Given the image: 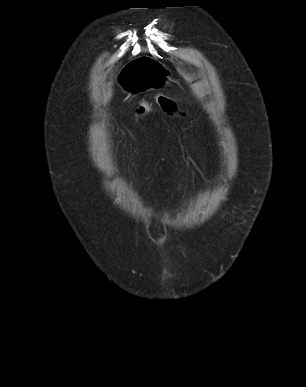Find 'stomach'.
Masks as SVG:
<instances>
[{
	"instance_id": "1",
	"label": "stomach",
	"mask_w": 306,
	"mask_h": 387,
	"mask_svg": "<svg viewBox=\"0 0 306 387\" xmlns=\"http://www.w3.org/2000/svg\"><path fill=\"white\" fill-rule=\"evenodd\" d=\"M165 66L166 59H155L154 55H135L134 61H128L127 66L122 67L118 81L121 82L123 91L143 95L144 91L164 87L165 82L171 81Z\"/></svg>"
}]
</instances>
